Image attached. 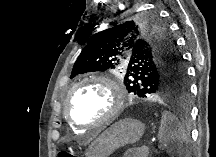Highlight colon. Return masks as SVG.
Returning a JSON list of instances; mask_svg holds the SVG:
<instances>
[{"label": "colon", "mask_w": 216, "mask_h": 157, "mask_svg": "<svg viewBox=\"0 0 216 157\" xmlns=\"http://www.w3.org/2000/svg\"><path fill=\"white\" fill-rule=\"evenodd\" d=\"M59 157H74V155L70 151H62L60 152Z\"/></svg>", "instance_id": "colon-1"}]
</instances>
